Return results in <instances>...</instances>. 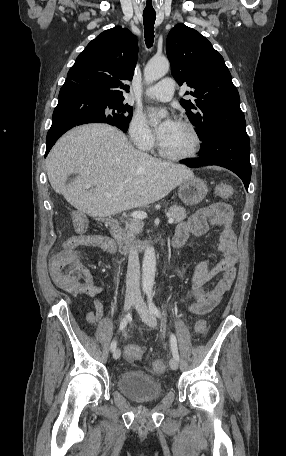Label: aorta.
I'll return each instance as SVG.
<instances>
[{
  "instance_id": "obj_1",
  "label": "aorta",
  "mask_w": 286,
  "mask_h": 456,
  "mask_svg": "<svg viewBox=\"0 0 286 456\" xmlns=\"http://www.w3.org/2000/svg\"><path fill=\"white\" fill-rule=\"evenodd\" d=\"M170 63L167 58L154 57L146 65L144 69V78L147 83H153L162 78L168 72ZM161 117L166 115L162 112ZM158 120H154L157 123ZM156 272V254L153 247H146L142 262V288L144 291H151L154 284Z\"/></svg>"
}]
</instances>
